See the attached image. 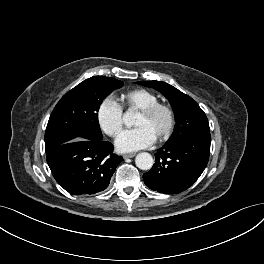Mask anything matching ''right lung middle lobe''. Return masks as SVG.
Instances as JSON below:
<instances>
[{
  "mask_svg": "<svg viewBox=\"0 0 264 264\" xmlns=\"http://www.w3.org/2000/svg\"><path fill=\"white\" fill-rule=\"evenodd\" d=\"M123 83L110 77L93 76L66 93L55 106L45 132L49 150L77 135L102 140L98 111L103 99Z\"/></svg>",
  "mask_w": 264,
  "mask_h": 264,
  "instance_id": "dd1d6c3e",
  "label": "right lung middle lobe"
}]
</instances>
